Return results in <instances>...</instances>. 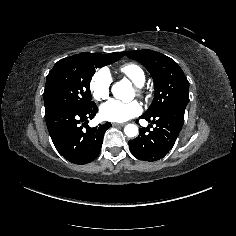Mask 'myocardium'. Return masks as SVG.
<instances>
[{
	"label": "myocardium",
	"mask_w": 236,
	"mask_h": 236,
	"mask_svg": "<svg viewBox=\"0 0 236 236\" xmlns=\"http://www.w3.org/2000/svg\"><path fill=\"white\" fill-rule=\"evenodd\" d=\"M135 92L138 97L143 96V87L142 85L135 84Z\"/></svg>",
	"instance_id": "f54148a6"
}]
</instances>
